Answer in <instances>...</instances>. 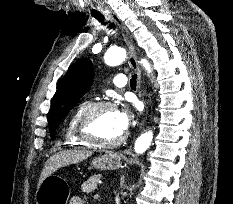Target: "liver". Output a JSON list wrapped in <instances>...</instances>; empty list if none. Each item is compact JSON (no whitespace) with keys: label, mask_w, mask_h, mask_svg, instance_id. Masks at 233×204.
Returning a JSON list of instances; mask_svg holds the SVG:
<instances>
[{"label":"liver","mask_w":233,"mask_h":204,"mask_svg":"<svg viewBox=\"0 0 233 204\" xmlns=\"http://www.w3.org/2000/svg\"><path fill=\"white\" fill-rule=\"evenodd\" d=\"M92 155V151L81 149L63 150L52 155L45 163L39 178L38 187L42 181L61 167L79 163Z\"/></svg>","instance_id":"6515ba94"}]
</instances>
